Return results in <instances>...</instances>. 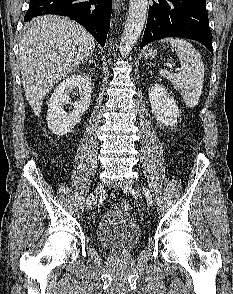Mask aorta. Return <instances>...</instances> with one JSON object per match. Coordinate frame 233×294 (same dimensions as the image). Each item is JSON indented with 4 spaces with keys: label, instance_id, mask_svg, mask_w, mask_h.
<instances>
[{
    "label": "aorta",
    "instance_id": "obj_1",
    "mask_svg": "<svg viewBox=\"0 0 233 294\" xmlns=\"http://www.w3.org/2000/svg\"><path fill=\"white\" fill-rule=\"evenodd\" d=\"M148 13V0H130L128 16L121 36L120 53L127 55L136 44L144 28Z\"/></svg>",
    "mask_w": 233,
    "mask_h": 294
}]
</instances>
